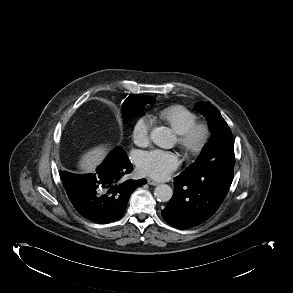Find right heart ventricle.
Listing matches in <instances>:
<instances>
[{"instance_id": "obj_1", "label": "right heart ventricle", "mask_w": 293, "mask_h": 293, "mask_svg": "<svg viewBox=\"0 0 293 293\" xmlns=\"http://www.w3.org/2000/svg\"><path fill=\"white\" fill-rule=\"evenodd\" d=\"M159 116L177 134L185 132L198 120V117L195 113L182 105L168 106L160 111Z\"/></svg>"}]
</instances>
